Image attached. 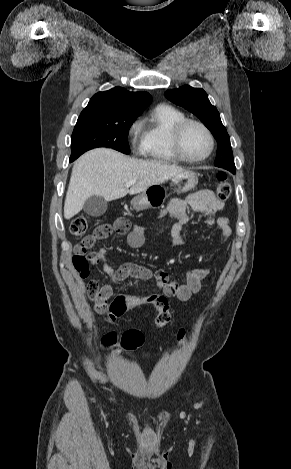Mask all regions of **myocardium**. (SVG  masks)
Masks as SVG:
<instances>
[{
    "label": "myocardium",
    "mask_w": 291,
    "mask_h": 469,
    "mask_svg": "<svg viewBox=\"0 0 291 469\" xmlns=\"http://www.w3.org/2000/svg\"><path fill=\"white\" fill-rule=\"evenodd\" d=\"M189 125L199 126L206 133L209 139V149L207 153L200 158H190L185 154L183 150V146H182L183 134ZM171 145H172L174 154L179 160L183 162L191 163V164H198V163L204 162L211 156L215 147V139L211 130L203 122L196 120V119L185 118L181 120L180 122H178L173 127V130L171 133Z\"/></svg>",
    "instance_id": "myocardium-1"
}]
</instances>
